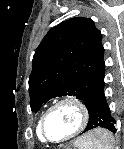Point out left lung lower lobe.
Listing matches in <instances>:
<instances>
[{"instance_id":"left-lung-lower-lobe-1","label":"left lung lower lobe","mask_w":124,"mask_h":149,"mask_svg":"<svg viewBox=\"0 0 124 149\" xmlns=\"http://www.w3.org/2000/svg\"><path fill=\"white\" fill-rule=\"evenodd\" d=\"M104 83L95 91H93L86 100V107L89 112V121L84 132L95 128H106L115 133V119L111 115V111L104 96Z\"/></svg>"}]
</instances>
